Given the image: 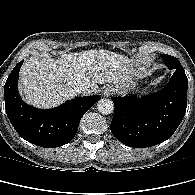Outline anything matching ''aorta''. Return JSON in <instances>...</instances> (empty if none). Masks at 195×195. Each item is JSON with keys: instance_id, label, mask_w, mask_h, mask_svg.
Masks as SVG:
<instances>
[{"instance_id": "1", "label": "aorta", "mask_w": 195, "mask_h": 195, "mask_svg": "<svg viewBox=\"0 0 195 195\" xmlns=\"http://www.w3.org/2000/svg\"><path fill=\"white\" fill-rule=\"evenodd\" d=\"M98 111L103 115H109L114 111V103L111 99H101L97 103Z\"/></svg>"}]
</instances>
